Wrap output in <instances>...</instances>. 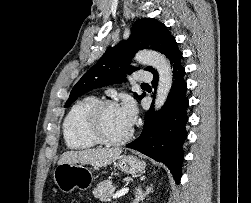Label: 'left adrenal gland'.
<instances>
[{"mask_svg": "<svg viewBox=\"0 0 251 203\" xmlns=\"http://www.w3.org/2000/svg\"><path fill=\"white\" fill-rule=\"evenodd\" d=\"M152 192H153L152 185L148 186L145 191H143L141 187L136 188L135 199L132 203H138L139 201L144 200L145 197Z\"/></svg>", "mask_w": 251, "mask_h": 203, "instance_id": "a2214340", "label": "left adrenal gland"}]
</instances>
